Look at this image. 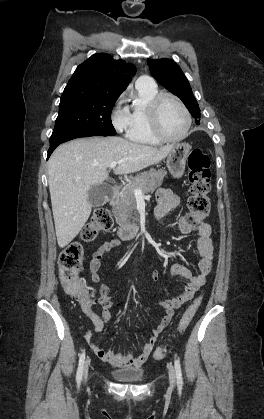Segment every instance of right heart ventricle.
Segmentation results:
<instances>
[{"label": "right heart ventricle", "instance_id": "right-heart-ventricle-1", "mask_svg": "<svg viewBox=\"0 0 264 419\" xmlns=\"http://www.w3.org/2000/svg\"><path fill=\"white\" fill-rule=\"evenodd\" d=\"M157 93L159 89L155 83L149 85L136 83V93L127 109L130 116L128 138L131 141L147 145L159 143L151 131L148 114L149 103Z\"/></svg>", "mask_w": 264, "mask_h": 419}]
</instances>
